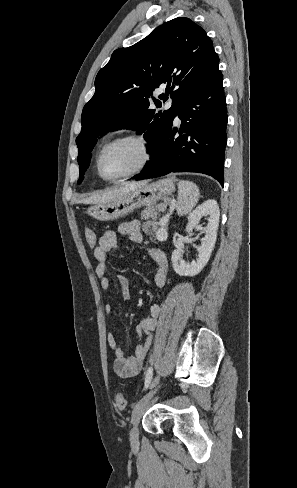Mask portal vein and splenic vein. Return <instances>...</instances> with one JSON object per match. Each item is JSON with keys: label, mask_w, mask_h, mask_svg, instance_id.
I'll return each mask as SVG.
<instances>
[{"label": "portal vein and splenic vein", "mask_w": 297, "mask_h": 488, "mask_svg": "<svg viewBox=\"0 0 297 488\" xmlns=\"http://www.w3.org/2000/svg\"><path fill=\"white\" fill-rule=\"evenodd\" d=\"M172 211H173V207H171L170 213L166 214V215H165V216L162 218V224H166V223L168 222V220H169V218H170V215H171ZM162 231H164V228L159 229V230H158V233H160V232H162Z\"/></svg>", "instance_id": "18ae733b"}]
</instances>
